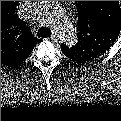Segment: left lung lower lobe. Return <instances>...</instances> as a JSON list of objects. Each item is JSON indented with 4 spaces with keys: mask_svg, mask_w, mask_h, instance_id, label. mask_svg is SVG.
<instances>
[{
    "mask_svg": "<svg viewBox=\"0 0 121 121\" xmlns=\"http://www.w3.org/2000/svg\"><path fill=\"white\" fill-rule=\"evenodd\" d=\"M64 54H65L66 56H69V57L71 58L70 53L64 52Z\"/></svg>",
    "mask_w": 121,
    "mask_h": 121,
    "instance_id": "0a47b994",
    "label": "left lung lower lobe"
}]
</instances>
